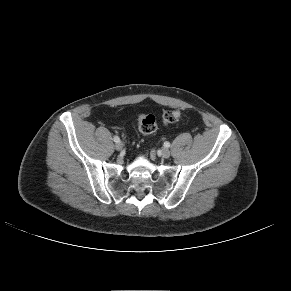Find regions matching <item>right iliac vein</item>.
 <instances>
[{
    "label": "right iliac vein",
    "instance_id": "right-iliac-vein-1",
    "mask_svg": "<svg viewBox=\"0 0 291 291\" xmlns=\"http://www.w3.org/2000/svg\"><path fill=\"white\" fill-rule=\"evenodd\" d=\"M122 148H123V144L121 142H117L115 144V149L116 150L120 151V150H122Z\"/></svg>",
    "mask_w": 291,
    "mask_h": 291
}]
</instances>
